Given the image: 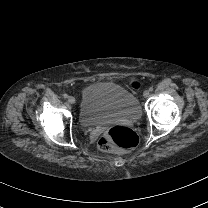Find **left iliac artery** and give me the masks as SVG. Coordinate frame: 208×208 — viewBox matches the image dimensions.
<instances>
[{
	"label": "left iliac artery",
	"instance_id": "1",
	"mask_svg": "<svg viewBox=\"0 0 208 208\" xmlns=\"http://www.w3.org/2000/svg\"><path fill=\"white\" fill-rule=\"evenodd\" d=\"M149 91L152 92V91H153V87H150V88H149Z\"/></svg>",
	"mask_w": 208,
	"mask_h": 208
}]
</instances>
